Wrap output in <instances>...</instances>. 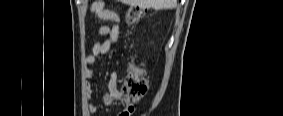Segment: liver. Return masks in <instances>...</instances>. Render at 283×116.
<instances>
[{"label":"liver","instance_id":"1","mask_svg":"<svg viewBox=\"0 0 283 116\" xmlns=\"http://www.w3.org/2000/svg\"><path fill=\"white\" fill-rule=\"evenodd\" d=\"M122 3L141 8L172 9L177 5V0H121Z\"/></svg>","mask_w":283,"mask_h":116}]
</instances>
